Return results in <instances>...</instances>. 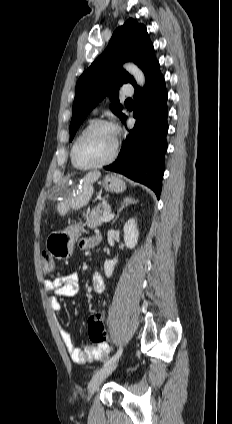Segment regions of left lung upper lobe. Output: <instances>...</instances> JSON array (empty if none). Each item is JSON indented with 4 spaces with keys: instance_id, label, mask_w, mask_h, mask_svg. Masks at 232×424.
Listing matches in <instances>:
<instances>
[{
    "instance_id": "left-lung-upper-lobe-1",
    "label": "left lung upper lobe",
    "mask_w": 232,
    "mask_h": 424,
    "mask_svg": "<svg viewBox=\"0 0 232 424\" xmlns=\"http://www.w3.org/2000/svg\"><path fill=\"white\" fill-rule=\"evenodd\" d=\"M126 61L137 64L146 78L158 63L146 27L133 19L114 31L105 51L80 76L72 107L70 141L88 113L108 94L114 102L111 110L121 120L125 116L117 90L127 82L137 86L134 78L121 68Z\"/></svg>"
}]
</instances>
